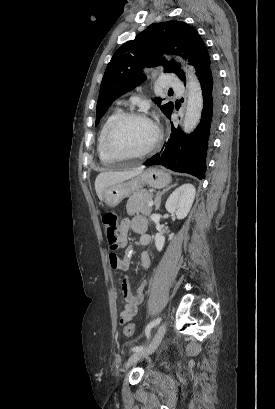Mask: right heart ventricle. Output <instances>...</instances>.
Listing matches in <instances>:
<instances>
[{"mask_svg":"<svg viewBox=\"0 0 275 409\" xmlns=\"http://www.w3.org/2000/svg\"><path fill=\"white\" fill-rule=\"evenodd\" d=\"M122 114L121 110H116L114 113H112L107 119L106 121L103 123L100 131H99V135H98V140H97V151L99 154V157H106L104 151H103V145H104V140H105V136L107 134V131L110 127V125L112 124V122Z\"/></svg>","mask_w":275,"mask_h":409,"instance_id":"1","label":"right heart ventricle"}]
</instances>
